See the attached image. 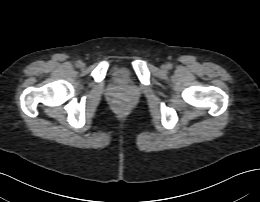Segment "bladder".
I'll use <instances>...</instances> for the list:
<instances>
[{"mask_svg":"<svg viewBox=\"0 0 260 202\" xmlns=\"http://www.w3.org/2000/svg\"><path fill=\"white\" fill-rule=\"evenodd\" d=\"M127 73V70L121 66H117L112 69V76L117 83H124Z\"/></svg>","mask_w":260,"mask_h":202,"instance_id":"31cf9c89","label":"bladder"}]
</instances>
